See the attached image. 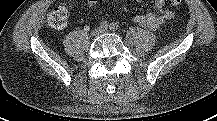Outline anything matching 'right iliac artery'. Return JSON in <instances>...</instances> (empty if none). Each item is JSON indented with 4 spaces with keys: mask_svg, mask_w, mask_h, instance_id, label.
I'll return each instance as SVG.
<instances>
[{
    "mask_svg": "<svg viewBox=\"0 0 217 121\" xmlns=\"http://www.w3.org/2000/svg\"><path fill=\"white\" fill-rule=\"evenodd\" d=\"M108 27V22L107 21H103L101 24H100V28L101 29H107Z\"/></svg>",
    "mask_w": 217,
    "mask_h": 121,
    "instance_id": "1",
    "label": "right iliac artery"
}]
</instances>
